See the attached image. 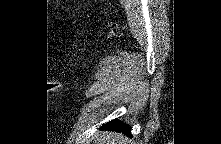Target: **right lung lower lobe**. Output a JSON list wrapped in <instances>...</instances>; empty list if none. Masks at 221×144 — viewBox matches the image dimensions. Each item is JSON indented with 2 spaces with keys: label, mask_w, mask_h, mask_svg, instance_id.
Returning a JSON list of instances; mask_svg holds the SVG:
<instances>
[{
  "label": "right lung lower lobe",
  "mask_w": 221,
  "mask_h": 144,
  "mask_svg": "<svg viewBox=\"0 0 221 144\" xmlns=\"http://www.w3.org/2000/svg\"><path fill=\"white\" fill-rule=\"evenodd\" d=\"M102 128L119 131V132L125 133L128 136H131L130 127L126 124H123L122 122H119L118 120H112L106 123Z\"/></svg>",
  "instance_id": "1"
}]
</instances>
